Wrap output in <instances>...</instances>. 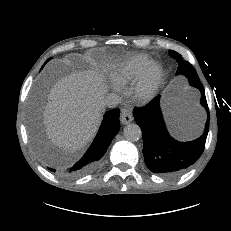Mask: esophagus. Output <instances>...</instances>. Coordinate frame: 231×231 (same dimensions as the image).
<instances>
[{
	"label": "esophagus",
	"mask_w": 231,
	"mask_h": 231,
	"mask_svg": "<svg viewBox=\"0 0 231 231\" xmlns=\"http://www.w3.org/2000/svg\"><path fill=\"white\" fill-rule=\"evenodd\" d=\"M120 121L122 124H129L130 122H132L133 121L132 112L127 109H123L121 112Z\"/></svg>",
	"instance_id": "obj_1"
}]
</instances>
